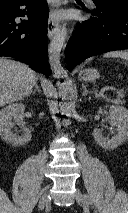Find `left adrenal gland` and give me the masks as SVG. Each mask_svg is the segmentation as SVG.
Wrapping results in <instances>:
<instances>
[{
    "label": "left adrenal gland",
    "mask_w": 128,
    "mask_h": 213,
    "mask_svg": "<svg viewBox=\"0 0 128 213\" xmlns=\"http://www.w3.org/2000/svg\"><path fill=\"white\" fill-rule=\"evenodd\" d=\"M82 87H83V93H82V95H83V96H86V95H88V94H91V93H92L91 91H88V90H87V88H86V86H85V85H83Z\"/></svg>",
    "instance_id": "left-adrenal-gland-1"
}]
</instances>
